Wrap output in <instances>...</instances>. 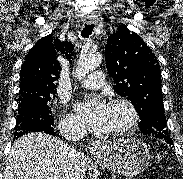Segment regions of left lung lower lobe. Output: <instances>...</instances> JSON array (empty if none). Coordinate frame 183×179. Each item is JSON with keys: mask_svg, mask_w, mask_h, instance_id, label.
<instances>
[{"mask_svg": "<svg viewBox=\"0 0 183 179\" xmlns=\"http://www.w3.org/2000/svg\"><path fill=\"white\" fill-rule=\"evenodd\" d=\"M165 141H166L167 143H169L170 145H172V141H171L170 138H167Z\"/></svg>", "mask_w": 183, "mask_h": 179, "instance_id": "left-lung-lower-lobe-1", "label": "left lung lower lobe"}]
</instances>
